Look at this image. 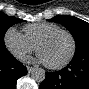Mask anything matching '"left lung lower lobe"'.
<instances>
[{
  "label": "left lung lower lobe",
  "instance_id": "0a47b994",
  "mask_svg": "<svg viewBox=\"0 0 89 89\" xmlns=\"http://www.w3.org/2000/svg\"><path fill=\"white\" fill-rule=\"evenodd\" d=\"M40 89H89V51L74 55L64 69L46 73Z\"/></svg>",
  "mask_w": 89,
  "mask_h": 89
}]
</instances>
